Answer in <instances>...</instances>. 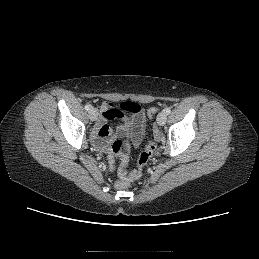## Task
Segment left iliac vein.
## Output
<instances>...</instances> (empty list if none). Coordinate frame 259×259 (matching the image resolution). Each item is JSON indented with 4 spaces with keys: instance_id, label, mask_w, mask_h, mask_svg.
<instances>
[{
    "instance_id": "obj_1",
    "label": "left iliac vein",
    "mask_w": 259,
    "mask_h": 259,
    "mask_svg": "<svg viewBox=\"0 0 259 259\" xmlns=\"http://www.w3.org/2000/svg\"><path fill=\"white\" fill-rule=\"evenodd\" d=\"M167 120V114L165 111H162L157 116V123L160 126H163L166 123Z\"/></svg>"
}]
</instances>
